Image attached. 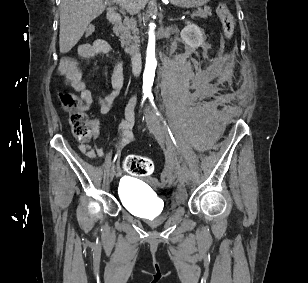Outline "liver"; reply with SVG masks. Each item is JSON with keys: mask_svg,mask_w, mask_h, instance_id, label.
<instances>
[{"mask_svg": "<svg viewBox=\"0 0 308 283\" xmlns=\"http://www.w3.org/2000/svg\"><path fill=\"white\" fill-rule=\"evenodd\" d=\"M116 3L127 9L130 3H135L141 9L147 0H62L60 4V35L59 47L61 53L69 52L81 39L92 20L106 9V3ZM115 8H108L113 12Z\"/></svg>", "mask_w": 308, "mask_h": 283, "instance_id": "obj_1", "label": "liver"}]
</instances>
